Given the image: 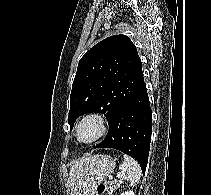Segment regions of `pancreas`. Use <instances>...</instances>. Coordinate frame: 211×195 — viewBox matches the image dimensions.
<instances>
[{
  "instance_id": "1",
  "label": "pancreas",
  "mask_w": 211,
  "mask_h": 195,
  "mask_svg": "<svg viewBox=\"0 0 211 195\" xmlns=\"http://www.w3.org/2000/svg\"><path fill=\"white\" fill-rule=\"evenodd\" d=\"M108 184L110 185V190L115 191L116 189L120 187L121 182L115 181V182H109Z\"/></svg>"
}]
</instances>
